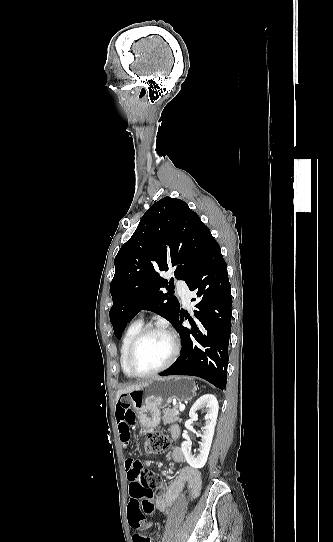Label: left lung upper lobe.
Listing matches in <instances>:
<instances>
[{"mask_svg":"<svg viewBox=\"0 0 333 542\" xmlns=\"http://www.w3.org/2000/svg\"><path fill=\"white\" fill-rule=\"evenodd\" d=\"M211 238L210 229L180 199L165 197L149 208L115 257L109 316L118 339L142 309L176 325L180 303L172 296L174 282L160 278L159 271L176 267L175 278L186 281L199 267Z\"/></svg>","mask_w":333,"mask_h":542,"instance_id":"left-lung-upper-lobe-1","label":"left lung upper lobe"}]
</instances>
